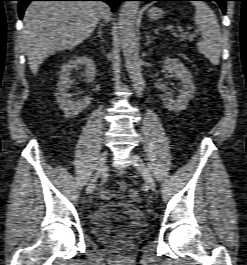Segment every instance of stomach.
Listing matches in <instances>:
<instances>
[{
  "instance_id": "obj_1",
  "label": "stomach",
  "mask_w": 247,
  "mask_h": 265,
  "mask_svg": "<svg viewBox=\"0 0 247 265\" xmlns=\"http://www.w3.org/2000/svg\"><path fill=\"white\" fill-rule=\"evenodd\" d=\"M164 14V12L157 8V7H152L151 9H149L148 11V16L152 19H160L162 17V15Z\"/></svg>"
}]
</instances>
